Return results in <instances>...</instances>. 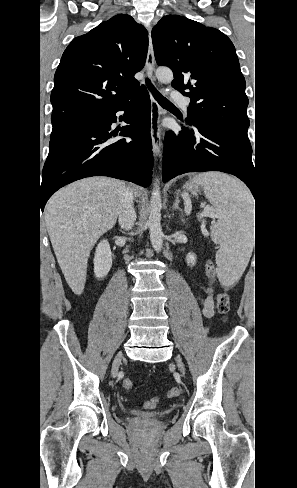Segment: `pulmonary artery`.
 I'll return each instance as SVG.
<instances>
[{
    "mask_svg": "<svg viewBox=\"0 0 297 488\" xmlns=\"http://www.w3.org/2000/svg\"><path fill=\"white\" fill-rule=\"evenodd\" d=\"M172 99L179 104L184 110H187L189 100L179 93H172Z\"/></svg>",
    "mask_w": 297,
    "mask_h": 488,
    "instance_id": "pulmonary-artery-1",
    "label": "pulmonary artery"
}]
</instances>
